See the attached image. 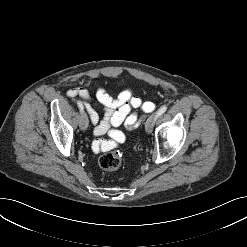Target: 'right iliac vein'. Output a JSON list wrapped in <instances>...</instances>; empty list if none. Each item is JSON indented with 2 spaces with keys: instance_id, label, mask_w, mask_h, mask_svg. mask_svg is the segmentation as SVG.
I'll return each instance as SVG.
<instances>
[{
  "instance_id": "1",
  "label": "right iliac vein",
  "mask_w": 247,
  "mask_h": 247,
  "mask_svg": "<svg viewBox=\"0 0 247 247\" xmlns=\"http://www.w3.org/2000/svg\"><path fill=\"white\" fill-rule=\"evenodd\" d=\"M79 124H80V128L82 130H86L87 129V127H88V116H87L86 113L83 112L81 114Z\"/></svg>"
}]
</instances>
